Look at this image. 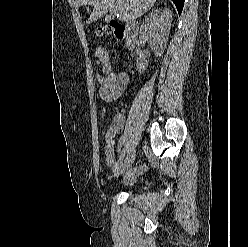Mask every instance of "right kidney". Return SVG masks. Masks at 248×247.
Segmentation results:
<instances>
[{"mask_svg":"<svg viewBox=\"0 0 248 247\" xmlns=\"http://www.w3.org/2000/svg\"><path fill=\"white\" fill-rule=\"evenodd\" d=\"M171 19L172 12L170 9L159 8L152 11L140 27L139 39L151 45L156 57L161 56L166 48ZM136 64L139 73L144 72L146 64L143 59L138 58Z\"/></svg>","mask_w":248,"mask_h":247,"instance_id":"ca27d5eb","label":"right kidney"}]
</instances>
